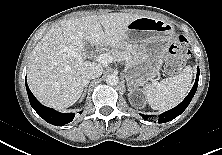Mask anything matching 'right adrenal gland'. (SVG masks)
<instances>
[{
  "mask_svg": "<svg viewBox=\"0 0 222 155\" xmlns=\"http://www.w3.org/2000/svg\"><path fill=\"white\" fill-rule=\"evenodd\" d=\"M89 82H90L89 80L86 82V85H85L84 92H83V95L81 97V100L85 97L87 86H88Z\"/></svg>",
  "mask_w": 222,
  "mask_h": 155,
  "instance_id": "1",
  "label": "right adrenal gland"
}]
</instances>
